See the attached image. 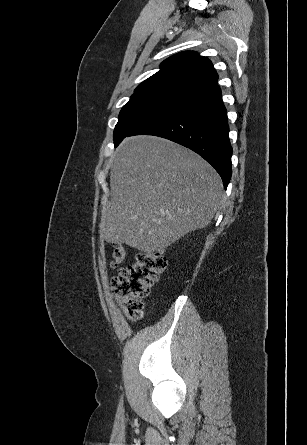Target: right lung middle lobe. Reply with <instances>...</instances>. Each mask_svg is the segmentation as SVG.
Wrapping results in <instances>:
<instances>
[{
  "instance_id": "1",
  "label": "right lung middle lobe",
  "mask_w": 307,
  "mask_h": 445,
  "mask_svg": "<svg viewBox=\"0 0 307 445\" xmlns=\"http://www.w3.org/2000/svg\"><path fill=\"white\" fill-rule=\"evenodd\" d=\"M184 101L181 98L160 95L131 96L120 111L113 134L114 143L120 142L134 129L176 108Z\"/></svg>"
}]
</instances>
